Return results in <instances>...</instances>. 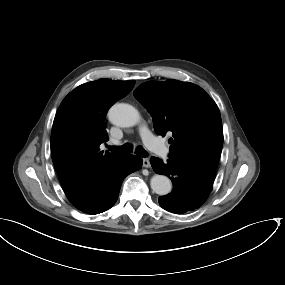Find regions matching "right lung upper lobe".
<instances>
[{"label": "right lung upper lobe", "instance_id": "obj_1", "mask_svg": "<svg viewBox=\"0 0 285 285\" xmlns=\"http://www.w3.org/2000/svg\"><path fill=\"white\" fill-rule=\"evenodd\" d=\"M135 81L99 79L84 83L62 101L51 132V156L69 201L82 199L127 156L100 151L108 141L106 113L134 87Z\"/></svg>", "mask_w": 285, "mask_h": 285}]
</instances>
